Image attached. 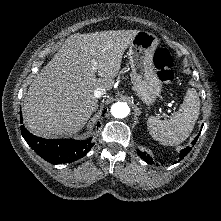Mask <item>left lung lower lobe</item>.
Returning <instances> with one entry per match:
<instances>
[{"label":"left lung lower lobe","mask_w":221,"mask_h":221,"mask_svg":"<svg viewBox=\"0 0 221 221\" xmlns=\"http://www.w3.org/2000/svg\"><path fill=\"white\" fill-rule=\"evenodd\" d=\"M199 135L194 139V141L192 142V144H195L197 139H198ZM191 150V147H186L185 149L181 150L180 152V161L188 154V152ZM137 154L148 164L154 163V161L152 160V158L149 155H146V153L140 152L139 150H137Z\"/></svg>","instance_id":"obj_1"}]
</instances>
